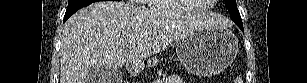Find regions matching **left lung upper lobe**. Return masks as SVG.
I'll list each match as a JSON object with an SVG mask.
<instances>
[{
  "label": "left lung upper lobe",
  "instance_id": "1",
  "mask_svg": "<svg viewBox=\"0 0 307 83\" xmlns=\"http://www.w3.org/2000/svg\"><path fill=\"white\" fill-rule=\"evenodd\" d=\"M225 4L227 6L228 12L230 13L231 19L237 25H243L240 13L237 9L236 0H225Z\"/></svg>",
  "mask_w": 307,
  "mask_h": 83
}]
</instances>
